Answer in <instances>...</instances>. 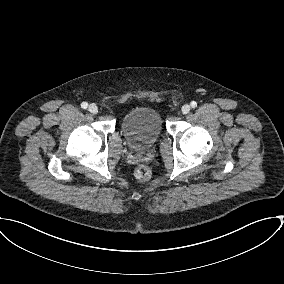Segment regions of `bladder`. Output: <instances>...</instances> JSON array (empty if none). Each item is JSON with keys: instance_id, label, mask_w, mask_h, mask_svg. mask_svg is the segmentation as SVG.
<instances>
[{"instance_id": "1", "label": "bladder", "mask_w": 284, "mask_h": 284, "mask_svg": "<svg viewBox=\"0 0 284 284\" xmlns=\"http://www.w3.org/2000/svg\"><path fill=\"white\" fill-rule=\"evenodd\" d=\"M162 119L157 110L147 106L135 107L122 118L121 130L133 150L145 151L161 136Z\"/></svg>"}]
</instances>
